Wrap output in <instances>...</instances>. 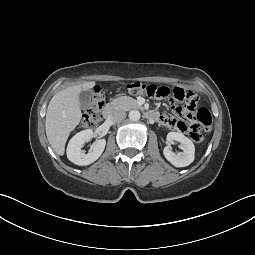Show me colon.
Wrapping results in <instances>:
<instances>
[{
    "instance_id": "colon-1",
    "label": "colon",
    "mask_w": 255,
    "mask_h": 255,
    "mask_svg": "<svg viewBox=\"0 0 255 255\" xmlns=\"http://www.w3.org/2000/svg\"><path fill=\"white\" fill-rule=\"evenodd\" d=\"M125 90L134 94H145L152 98L162 99L171 96L174 100L181 103L174 108L177 114L185 118H195L204 128L205 132L211 131L212 119L210 113L204 108H197L198 97L192 91L175 87L169 89L164 86L145 84L141 81H133L125 86ZM104 106V95L100 87H95L89 106L84 111L81 125L83 128H95L102 120V108ZM189 136L194 142L204 140V135L197 129L191 128Z\"/></svg>"
}]
</instances>
